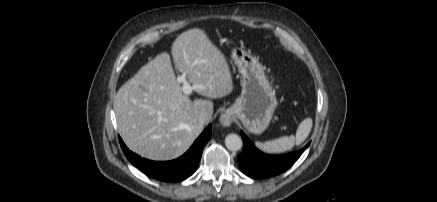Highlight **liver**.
I'll return each mask as SVG.
<instances>
[{
	"mask_svg": "<svg viewBox=\"0 0 437 202\" xmlns=\"http://www.w3.org/2000/svg\"><path fill=\"white\" fill-rule=\"evenodd\" d=\"M171 53L177 70L196 86V93L212 99L232 92L227 60L204 30L195 28L180 34ZM114 111L118 131L131 151L150 160L166 161L189 149L203 130L200 114L212 118L213 102L191 101L184 94L170 55L164 52L120 87Z\"/></svg>",
	"mask_w": 437,
	"mask_h": 202,
	"instance_id": "liver-1",
	"label": "liver"
}]
</instances>
